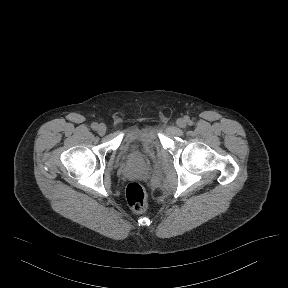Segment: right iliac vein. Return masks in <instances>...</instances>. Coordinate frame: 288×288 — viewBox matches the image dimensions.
Masks as SVG:
<instances>
[{
    "instance_id": "obj_1",
    "label": "right iliac vein",
    "mask_w": 288,
    "mask_h": 288,
    "mask_svg": "<svg viewBox=\"0 0 288 288\" xmlns=\"http://www.w3.org/2000/svg\"><path fill=\"white\" fill-rule=\"evenodd\" d=\"M106 131H107V128H106L105 124L98 125L97 132L99 135H101V136L105 135Z\"/></svg>"
}]
</instances>
